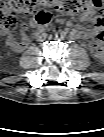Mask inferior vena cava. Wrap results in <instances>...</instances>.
<instances>
[{
	"instance_id": "obj_1",
	"label": "inferior vena cava",
	"mask_w": 104,
	"mask_h": 137,
	"mask_svg": "<svg viewBox=\"0 0 104 137\" xmlns=\"http://www.w3.org/2000/svg\"><path fill=\"white\" fill-rule=\"evenodd\" d=\"M49 35L48 34H45V33H43V34H40L39 35V38H38V41H39V44L40 45H47L48 44V42H49Z\"/></svg>"
}]
</instances>
